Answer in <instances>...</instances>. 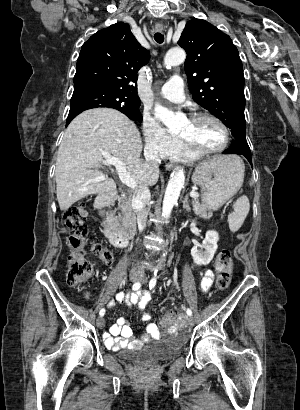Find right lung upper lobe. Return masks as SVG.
<instances>
[{
    "instance_id": "obj_1",
    "label": "right lung upper lobe",
    "mask_w": 300,
    "mask_h": 410,
    "mask_svg": "<svg viewBox=\"0 0 300 410\" xmlns=\"http://www.w3.org/2000/svg\"><path fill=\"white\" fill-rule=\"evenodd\" d=\"M127 24L116 23L92 35L82 45L74 84L90 83L117 91L140 105L137 72L149 61Z\"/></svg>"
}]
</instances>
